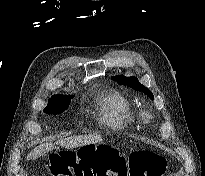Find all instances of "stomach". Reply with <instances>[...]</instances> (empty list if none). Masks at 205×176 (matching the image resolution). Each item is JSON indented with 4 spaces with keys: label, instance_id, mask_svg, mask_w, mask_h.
<instances>
[{
    "label": "stomach",
    "instance_id": "obj_1",
    "mask_svg": "<svg viewBox=\"0 0 205 176\" xmlns=\"http://www.w3.org/2000/svg\"><path fill=\"white\" fill-rule=\"evenodd\" d=\"M101 146H104V145H94V144H89V145H85V146H82L81 149H83L84 151H88V150H92L94 148V150L96 151L98 148H100Z\"/></svg>",
    "mask_w": 205,
    "mask_h": 176
}]
</instances>
